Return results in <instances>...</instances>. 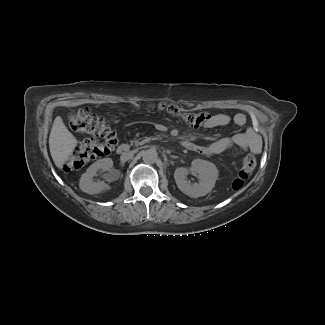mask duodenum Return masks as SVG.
I'll return each mask as SVG.
<instances>
[{
    "mask_svg": "<svg viewBox=\"0 0 325 325\" xmlns=\"http://www.w3.org/2000/svg\"><path fill=\"white\" fill-rule=\"evenodd\" d=\"M189 145H192V143L190 142H184L183 143V146L188 148ZM130 151V147L128 144H121L119 147H118V154L120 156H125L129 153Z\"/></svg>",
    "mask_w": 325,
    "mask_h": 325,
    "instance_id": "duodenum-1",
    "label": "duodenum"
}]
</instances>
